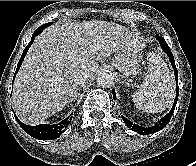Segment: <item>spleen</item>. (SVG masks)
Segmentation results:
<instances>
[{
  "label": "spleen",
  "instance_id": "spleen-1",
  "mask_svg": "<svg viewBox=\"0 0 196 166\" xmlns=\"http://www.w3.org/2000/svg\"><path fill=\"white\" fill-rule=\"evenodd\" d=\"M175 97V81L166 63L153 52L148 54L145 81L133 94V102L140 110L158 113L169 108Z\"/></svg>",
  "mask_w": 196,
  "mask_h": 166
}]
</instances>
